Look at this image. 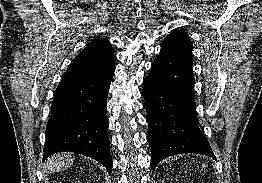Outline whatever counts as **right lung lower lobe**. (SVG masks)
I'll return each instance as SVG.
<instances>
[{
	"label": "right lung lower lobe",
	"mask_w": 262,
	"mask_h": 183,
	"mask_svg": "<svg viewBox=\"0 0 262 183\" xmlns=\"http://www.w3.org/2000/svg\"><path fill=\"white\" fill-rule=\"evenodd\" d=\"M114 71L115 63L67 70L54 92L43 160L57 152L71 151L97 160L111 173L106 107Z\"/></svg>",
	"instance_id": "obj_1"
}]
</instances>
